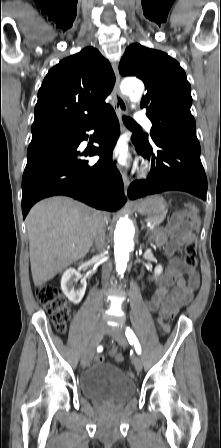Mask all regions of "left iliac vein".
I'll return each instance as SVG.
<instances>
[{
    "instance_id": "left-iliac-vein-1",
    "label": "left iliac vein",
    "mask_w": 221,
    "mask_h": 448,
    "mask_svg": "<svg viewBox=\"0 0 221 448\" xmlns=\"http://www.w3.org/2000/svg\"><path fill=\"white\" fill-rule=\"evenodd\" d=\"M106 333L110 334L122 347L127 346V339L121 326L108 327ZM134 367L137 371H141L143 362L140 356L134 358Z\"/></svg>"
}]
</instances>
